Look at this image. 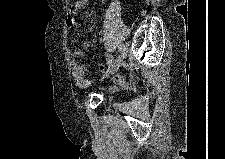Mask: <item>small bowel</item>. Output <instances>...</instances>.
I'll return each instance as SVG.
<instances>
[{
	"label": "small bowel",
	"mask_w": 225,
	"mask_h": 159,
	"mask_svg": "<svg viewBox=\"0 0 225 159\" xmlns=\"http://www.w3.org/2000/svg\"><path fill=\"white\" fill-rule=\"evenodd\" d=\"M87 5L86 0H77L69 9L68 15H67V26L70 29V31H74L75 29V16L83 11ZM91 46L90 41H84L80 48L76 49L73 52V57L75 59L80 58L84 55L85 51L89 49ZM97 68L100 72H104L106 70V66L103 63H99L97 65ZM73 77L75 80V83L77 86L81 88H87L91 85L90 80L86 76V69L85 66L82 64H79L75 62L73 64L72 69ZM114 81L116 83V86H111L109 90L115 91L118 88H126L131 85V83L127 82L123 77L121 76H115Z\"/></svg>",
	"instance_id": "obj_1"
}]
</instances>
